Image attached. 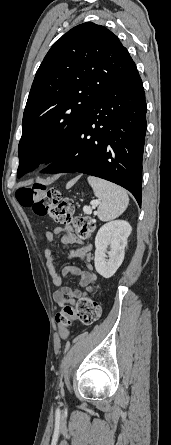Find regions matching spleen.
I'll return each mask as SVG.
<instances>
[{"instance_id":"3e777b00","label":"spleen","mask_w":171,"mask_h":445,"mask_svg":"<svg viewBox=\"0 0 171 445\" xmlns=\"http://www.w3.org/2000/svg\"><path fill=\"white\" fill-rule=\"evenodd\" d=\"M87 180L100 201L97 214L101 221L115 219L126 210L129 198L123 188L93 176Z\"/></svg>"}]
</instances>
